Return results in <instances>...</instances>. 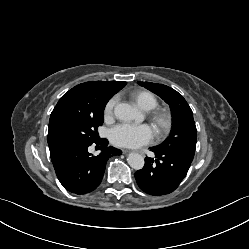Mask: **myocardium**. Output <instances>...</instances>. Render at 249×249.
Here are the masks:
<instances>
[{
	"label": "myocardium",
	"instance_id": "obj_1",
	"mask_svg": "<svg viewBox=\"0 0 249 249\" xmlns=\"http://www.w3.org/2000/svg\"><path fill=\"white\" fill-rule=\"evenodd\" d=\"M150 117L159 134H166L170 131L173 123V118L168 111L158 109L153 111Z\"/></svg>",
	"mask_w": 249,
	"mask_h": 249
}]
</instances>
